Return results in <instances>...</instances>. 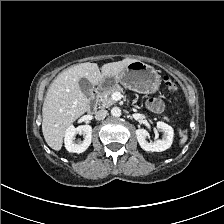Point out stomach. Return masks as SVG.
Masks as SVG:
<instances>
[{"label": "stomach", "mask_w": 224, "mask_h": 224, "mask_svg": "<svg viewBox=\"0 0 224 224\" xmlns=\"http://www.w3.org/2000/svg\"><path fill=\"white\" fill-rule=\"evenodd\" d=\"M142 94L154 93L158 90L161 79L154 67L135 60L129 63L118 75L104 77L101 88H110L116 84Z\"/></svg>", "instance_id": "1"}]
</instances>
